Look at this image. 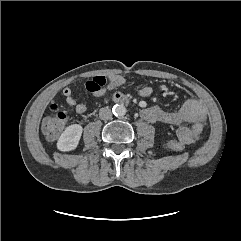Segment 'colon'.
I'll return each mask as SVG.
<instances>
[{"label": "colon", "instance_id": "5ec220e1", "mask_svg": "<svg viewBox=\"0 0 241 241\" xmlns=\"http://www.w3.org/2000/svg\"><path fill=\"white\" fill-rule=\"evenodd\" d=\"M106 79L103 76H95L86 82L85 88L91 93L100 94L104 91L106 86ZM125 85L127 82L125 81ZM109 88H116L115 84L109 83ZM73 106L69 105L67 110H62L58 105H50V116L44 121L43 130L49 138H56L66 123L68 115L73 111ZM203 126L201 124H195L193 126L194 133H201ZM170 149L175 152H182L184 150V144L177 140H172L168 143Z\"/></svg>", "mask_w": 241, "mask_h": 241}]
</instances>
